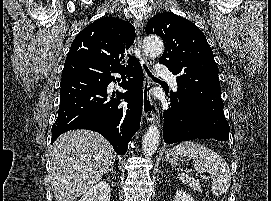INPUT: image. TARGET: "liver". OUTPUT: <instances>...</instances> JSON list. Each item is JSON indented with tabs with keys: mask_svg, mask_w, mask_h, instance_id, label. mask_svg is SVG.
<instances>
[{
	"mask_svg": "<svg viewBox=\"0 0 271 201\" xmlns=\"http://www.w3.org/2000/svg\"><path fill=\"white\" fill-rule=\"evenodd\" d=\"M49 180L56 201H73L90 190L115 160L111 144L89 130H72L51 147Z\"/></svg>",
	"mask_w": 271,
	"mask_h": 201,
	"instance_id": "liver-1",
	"label": "liver"
}]
</instances>
